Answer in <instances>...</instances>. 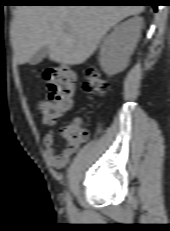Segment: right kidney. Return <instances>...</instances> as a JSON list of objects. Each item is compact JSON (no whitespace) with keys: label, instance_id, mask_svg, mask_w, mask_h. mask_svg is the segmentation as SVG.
I'll return each instance as SVG.
<instances>
[{"label":"right kidney","instance_id":"1","mask_svg":"<svg viewBox=\"0 0 170 231\" xmlns=\"http://www.w3.org/2000/svg\"><path fill=\"white\" fill-rule=\"evenodd\" d=\"M142 26V17L136 16L117 25L104 39L99 53V62L107 75H115L127 66L140 38Z\"/></svg>","mask_w":170,"mask_h":231}]
</instances>
